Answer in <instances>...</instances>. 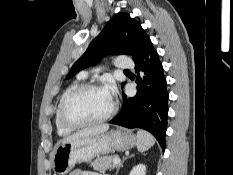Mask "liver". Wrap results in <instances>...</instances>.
Instances as JSON below:
<instances>
[{"mask_svg": "<svg viewBox=\"0 0 233 175\" xmlns=\"http://www.w3.org/2000/svg\"><path fill=\"white\" fill-rule=\"evenodd\" d=\"M108 129H109L108 124H101V125H98V126L85 128V129H82V130L72 134V135H69V136L65 137L63 140H61V143H67V142H71L73 140H76L78 138L101 134L103 132H106Z\"/></svg>", "mask_w": 233, "mask_h": 175, "instance_id": "liver-1", "label": "liver"}]
</instances>
